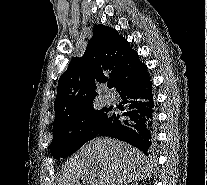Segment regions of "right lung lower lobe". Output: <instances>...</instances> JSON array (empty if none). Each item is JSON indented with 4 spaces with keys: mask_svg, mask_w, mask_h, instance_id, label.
Instances as JSON below:
<instances>
[{
    "mask_svg": "<svg viewBox=\"0 0 207 185\" xmlns=\"http://www.w3.org/2000/svg\"><path fill=\"white\" fill-rule=\"evenodd\" d=\"M116 91L125 108L120 109L122 112L113 113V120L104 126L99 135L123 140L146 152L152 144L155 125L152 82L147 71L121 83Z\"/></svg>",
    "mask_w": 207,
    "mask_h": 185,
    "instance_id": "1",
    "label": "right lung lower lobe"
}]
</instances>
